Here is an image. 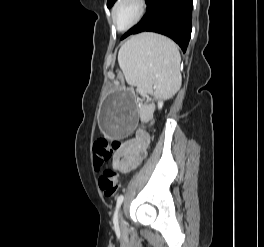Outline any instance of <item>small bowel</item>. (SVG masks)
Segmentation results:
<instances>
[{
	"instance_id": "obj_1",
	"label": "small bowel",
	"mask_w": 264,
	"mask_h": 247,
	"mask_svg": "<svg viewBox=\"0 0 264 247\" xmlns=\"http://www.w3.org/2000/svg\"><path fill=\"white\" fill-rule=\"evenodd\" d=\"M143 117L148 119L150 113L143 112ZM150 145V137L145 132H138L136 137L126 140L115 152L113 157L114 166L123 173L136 169L147 155Z\"/></svg>"
}]
</instances>
